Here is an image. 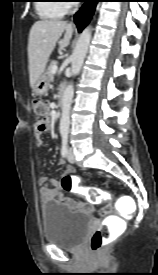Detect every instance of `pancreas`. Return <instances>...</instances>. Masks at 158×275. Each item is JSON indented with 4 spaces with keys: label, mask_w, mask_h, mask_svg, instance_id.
Listing matches in <instances>:
<instances>
[{
    "label": "pancreas",
    "mask_w": 158,
    "mask_h": 275,
    "mask_svg": "<svg viewBox=\"0 0 158 275\" xmlns=\"http://www.w3.org/2000/svg\"><path fill=\"white\" fill-rule=\"evenodd\" d=\"M55 65H56V61H52L50 63V65L48 66V69L46 71V74H47V77H48L49 81H52L54 79V75L51 73V69Z\"/></svg>",
    "instance_id": "1"
}]
</instances>
